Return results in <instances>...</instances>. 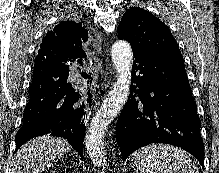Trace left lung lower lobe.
<instances>
[{"mask_svg": "<svg viewBox=\"0 0 219 173\" xmlns=\"http://www.w3.org/2000/svg\"><path fill=\"white\" fill-rule=\"evenodd\" d=\"M132 83L116 124L123 161L150 143L181 147L204 166V145L183 60L133 52ZM139 99H136L135 97Z\"/></svg>", "mask_w": 219, "mask_h": 173, "instance_id": "obj_1", "label": "left lung lower lobe"}]
</instances>
